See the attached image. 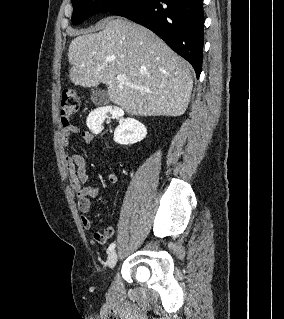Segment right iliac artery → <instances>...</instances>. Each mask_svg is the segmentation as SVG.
<instances>
[{
    "label": "right iliac artery",
    "instance_id": "obj_1",
    "mask_svg": "<svg viewBox=\"0 0 284 319\" xmlns=\"http://www.w3.org/2000/svg\"><path fill=\"white\" fill-rule=\"evenodd\" d=\"M114 248H115V243H111V244L109 245V247H108L107 252H108V253L112 252V251L114 250Z\"/></svg>",
    "mask_w": 284,
    "mask_h": 319
}]
</instances>
